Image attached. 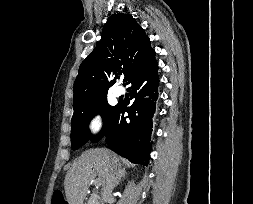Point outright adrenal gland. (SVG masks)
Wrapping results in <instances>:
<instances>
[{
	"label": "right adrenal gland",
	"mask_w": 253,
	"mask_h": 204,
	"mask_svg": "<svg viewBox=\"0 0 253 204\" xmlns=\"http://www.w3.org/2000/svg\"><path fill=\"white\" fill-rule=\"evenodd\" d=\"M117 173H118V179L116 181L115 187H117L119 185L121 178L125 177L127 175L125 168H119Z\"/></svg>",
	"instance_id": "right-adrenal-gland-1"
}]
</instances>
